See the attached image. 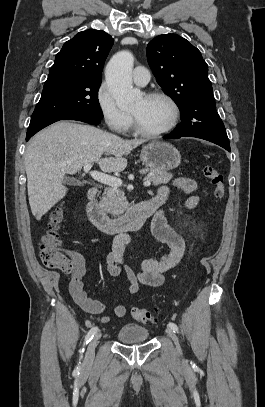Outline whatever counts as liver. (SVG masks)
Returning <instances> with one entry per match:
<instances>
[{"label":"liver","mask_w":265,"mask_h":407,"mask_svg":"<svg viewBox=\"0 0 265 407\" xmlns=\"http://www.w3.org/2000/svg\"><path fill=\"white\" fill-rule=\"evenodd\" d=\"M143 139L125 140L99 128L57 122L29 142L25 170L29 204L36 220H41L65 197L66 174H75L88 163H97L103 172H121L127 166L123 155L144 143ZM110 157L103 158V154Z\"/></svg>","instance_id":"obj_1"}]
</instances>
